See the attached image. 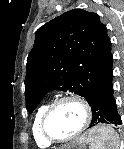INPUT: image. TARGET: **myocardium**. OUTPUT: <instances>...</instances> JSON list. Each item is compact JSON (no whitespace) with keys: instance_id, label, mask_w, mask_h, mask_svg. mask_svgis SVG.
Returning <instances> with one entry per match:
<instances>
[{"instance_id":"f54148a6","label":"myocardium","mask_w":124,"mask_h":149,"mask_svg":"<svg viewBox=\"0 0 124 149\" xmlns=\"http://www.w3.org/2000/svg\"><path fill=\"white\" fill-rule=\"evenodd\" d=\"M69 101L75 102L82 107V109L84 111V120H83L81 127L79 128V130L77 132H75L74 134H72L69 137H66L63 139H57V138L53 137L48 131V128H47L48 119L56 107H58L62 103L69 102ZM91 121H92V109H91L90 104L84 98H82L80 96L67 95V96L58 98L57 100H55L54 102L49 104V106L47 107L46 111L44 112L42 120H41V132H42L44 138L47 141H49L50 143L62 144V143L72 141V140L76 139L77 137H79L81 134H83L90 126Z\"/></svg>"}]
</instances>
